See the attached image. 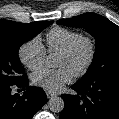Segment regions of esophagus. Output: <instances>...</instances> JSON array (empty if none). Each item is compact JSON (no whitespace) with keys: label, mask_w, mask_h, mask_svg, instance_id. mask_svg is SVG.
Masks as SVG:
<instances>
[{"label":"esophagus","mask_w":119,"mask_h":119,"mask_svg":"<svg viewBox=\"0 0 119 119\" xmlns=\"http://www.w3.org/2000/svg\"><path fill=\"white\" fill-rule=\"evenodd\" d=\"M46 95H47V98H53V97H55V96H57L55 93H52V92H46Z\"/></svg>","instance_id":"34e87169"}]
</instances>
